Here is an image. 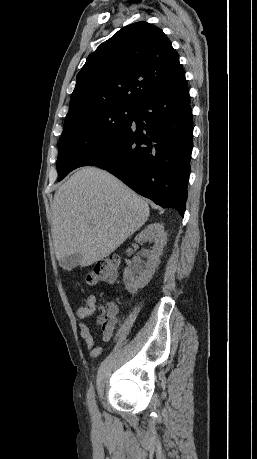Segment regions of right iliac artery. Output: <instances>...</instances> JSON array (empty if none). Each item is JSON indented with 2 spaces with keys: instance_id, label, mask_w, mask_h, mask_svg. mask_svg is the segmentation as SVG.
Instances as JSON below:
<instances>
[{
  "instance_id": "1",
  "label": "right iliac artery",
  "mask_w": 257,
  "mask_h": 459,
  "mask_svg": "<svg viewBox=\"0 0 257 459\" xmlns=\"http://www.w3.org/2000/svg\"><path fill=\"white\" fill-rule=\"evenodd\" d=\"M88 407L92 415H97V406L95 401V392L93 386L90 387L88 391Z\"/></svg>"
}]
</instances>
